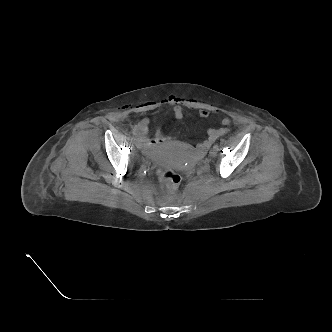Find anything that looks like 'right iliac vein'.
Here are the masks:
<instances>
[{
    "mask_svg": "<svg viewBox=\"0 0 332 332\" xmlns=\"http://www.w3.org/2000/svg\"><path fill=\"white\" fill-rule=\"evenodd\" d=\"M142 142H143L142 137L140 135H137L135 137V145H136V147L139 148V149H141L142 148V144H143Z\"/></svg>",
    "mask_w": 332,
    "mask_h": 332,
    "instance_id": "63e3f726",
    "label": "right iliac vein"
}]
</instances>
